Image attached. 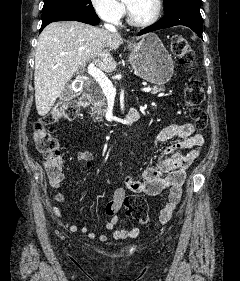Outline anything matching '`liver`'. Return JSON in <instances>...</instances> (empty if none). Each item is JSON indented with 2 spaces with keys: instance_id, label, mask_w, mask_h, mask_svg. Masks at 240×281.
Segmentation results:
<instances>
[{
  "instance_id": "obj_1",
  "label": "liver",
  "mask_w": 240,
  "mask_h": 281,
  "mask_svg": "<svg viewBox=\"0 0 240 281\" xmlns=\"http://www.w3.org/2000/svg\"><path fill=\"white\" fill-rule=\"evenodd\" d=\"M123 44L119 34L77 21L54 22L40 34L35 53V103L46 115L79 66L92 61L104 72L116 62L111 51Z\"/></svg>"
}]
</instances>
